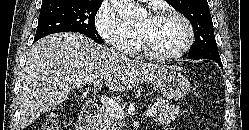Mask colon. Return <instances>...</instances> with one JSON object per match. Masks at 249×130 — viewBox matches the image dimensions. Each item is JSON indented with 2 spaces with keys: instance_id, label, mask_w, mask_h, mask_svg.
<instances>
[{
  "instance_id": "colon-1",
  "label": "colon",
  "mask_w": 249,
  "mask_h": 130,
  "mask_svg": "<svg viewBox=\"0 0 249 130\" xmlns=\"http://www.w3.org/2000/svg\"><path fill=\"white\" fill-rule=\"evenodd\" d=\"M60 126L61 113L56 109L47 115L40 130H60Z\"/></svg>"
}]
</instances>
